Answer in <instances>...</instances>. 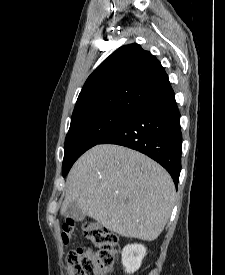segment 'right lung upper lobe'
I'll return each instance as SVG.
<instances>
[{"mask_svg": "<svg viewBox=\"0 0 225 275\" xmlns=\"http://www.w3.org/2000/svg\"><path fill=\"white\" fill-rule=\"evenodd\" d=\"M173 92L161 63L138 44L120 47L86 80L71 122L102 112H131Z\"/></svg>", "mask_w": 225, "mask_h": 275, "instance_id": "1", "label": "right lung upper lobe"}]
</instances>
